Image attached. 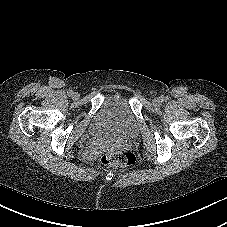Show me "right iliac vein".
I'll return each mask as SVG.
<instances>
[{
  "mask_svg": "<svg viewBox=\"0 0 227 227\" xmlns=\"http://www.w3.org/2000/svg\"><path fill=\"white\" fill-rule=\"evenodd\" d=\"M79 97H80V95H79L78 93H74V94L72 95V98H73L74 100L79 99Z\"/></svg>",
  "mask_w": 227,
  "mask_h": 227,
  "instance_id": "1",
  "label": "right iliac vein"
}]
</instances>
